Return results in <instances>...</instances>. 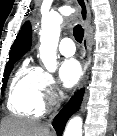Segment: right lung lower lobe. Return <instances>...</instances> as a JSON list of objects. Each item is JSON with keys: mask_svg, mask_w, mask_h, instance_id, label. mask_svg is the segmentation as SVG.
I'll return each instance as SVG.
<instances>
[{"mask_svg": "<svg viewBox=\"0 0 117 136\" xmlns=\"http://www.w3.org/2000/svg\"><path fill=\"white\" fill-rule=\"evenodd\" d=\"M83 93L84 90L78 91L70 100V102L66 106H64L63 109L54 118L53 127L58 135H62L67 120L74 112L78 110L82 101Z\"/></svg>", "mask_w": 117, "mask_h": 136, "instance_id": "right-lung-lower-lobe-1", "label": "right lung lower lobe"}]
</instances>
